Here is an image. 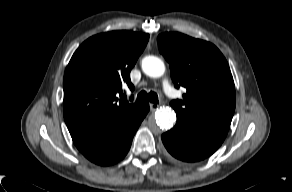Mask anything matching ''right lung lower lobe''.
Wrapping results in <instances>:
<instances>
[{
  "label": "right lung lower lobe",
  "instance_id": "obj_1",
  "mask_svg": "<svg viewBox=\"0 0 292 192\" xmlns=\"http://www.w3.org/2000/svg\"><path fill=\"white\" fill-rule=\"evenodd\" d=\"M149 111V105L107 124L78 126L69 129L78 150L101 166L117 163L128 153L134 134Z\"/></svg>",
  "mask_w": 292,
  "mask_h": 192
}]
</instances>
